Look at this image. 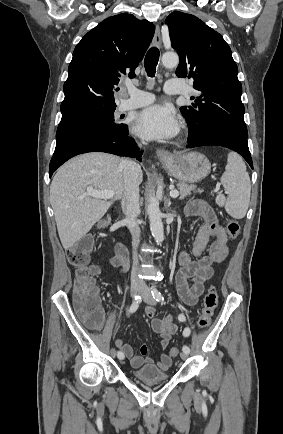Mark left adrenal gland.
I'll return each mask as SVG.
<instances>
[{
	"instance_id": "a2214340",
	"label": "left adrenal gland",
	"mask_w": 283,
	"mask_h": 434,
	"mask_svg": "<svg viewBox=\"0 0 283 434\" xmlns=\"http://www.w3.org/2000/svg\"><path fill=\"white\" fill-rule=\"evenodd\" d=\"M169 205H170V201L168 200V201H167V203H166V205H165V206H166V208H168V207H169Z\"/></svg>"
}]
</instances>
